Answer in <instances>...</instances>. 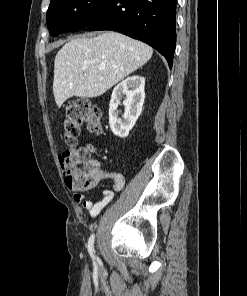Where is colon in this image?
<instances>
[{
    "label": "colon",
    "instance_id": "5ec220e1",
    "mask_svg": "<svg viewBox=\"0 0 247 296\" xmlns=\"http://www.w3.org/2000/svg\"><path fill=\"white\" fill-rule=\"evenodd\" d=\"M83 125L94 132H102V114L93 103L86 98H80L69 103L65 109L62 128L69 149L60 155L62 172L66 183L75 190L90 189L101 179L100 169L93 163L92 146L76 147Z\"/></svg>",
    "mask_w": 247,
    "mask_h": 296
}]
</instances>
